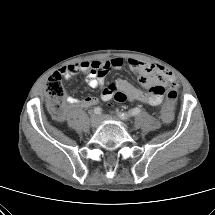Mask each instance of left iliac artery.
<instances>
[{
	"mask_svg": "<svg viewBox=\"0 0 215 215\" xmlns=\"http://www.w3.org/2000/svg\"><path fill=\"white\" fill-rule=\"evenodd\" d=\"M141 112V109L136 107V108H133L131 109L128 113H118V116L122 119V120H128L129 117L131 116H136L138 114H140Z\"/></svg>",
	"mask_w": 215,
	"mask_h": 215,
	"instance_id": "1",
	"label": "left iliac artery"
}]
</instances>
